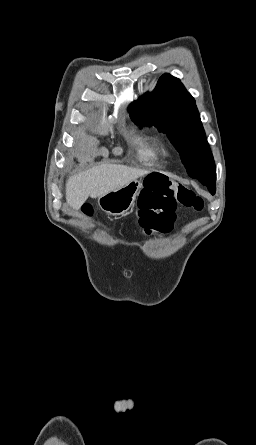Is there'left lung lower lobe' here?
Segmentation results:
<instances>
[{
	"label": "left lung lower lobe",
	"mask_w": 256,
	"mask_h": 445,
	"mask_svg": "<svg viewBox=\"0 0 256 445\" xmlns=\"http://www.w3.org/2000/svg\"><path fill=\"white\" fill-rule=\"evenodd\" d=\"M199 180L204 186L208 187V190L214 195L216 188H215V180L207 179V178H196Z\"/></svg>",
	"instance_id": "obj_1"
}]
</instances>
